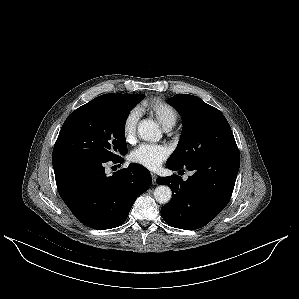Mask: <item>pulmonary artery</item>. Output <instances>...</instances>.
I'll return each instance as SVG.
<instances>
[{"instance_id": "obj_1", "label": "pulmonary artery", "mask_w": 299, "mask_h": 299, "mask_svg": "<svg viewBox=\"0 0 299 299\" xmlns=\"http://www.w3.org/2000/svg\"><path fill=\"white\" fill-rule=\"evenodd\" d=\"M165 130L168 131V130H170V128H166Z\"/></svg>"}]
</instances>
